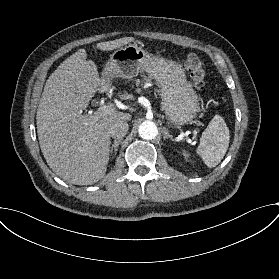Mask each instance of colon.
<instances>
[{
  "label": "colon",
  "mask_w": 279,
  "mask_h": 279,
  "mask_svg": "<svg viewBox=\"0 0 279 279\" xmlns=\"http://www.w3.org/2000/svg\"><path fill=\"white\" fill-rule=\"evenodd\" d=\"M184 66L189 71L193 87L202 94L206 93V72L200 58L196 54L190 53L184 60Z\"/></svg>",
  "instance_id": "obj_1"
}]
</instances>
